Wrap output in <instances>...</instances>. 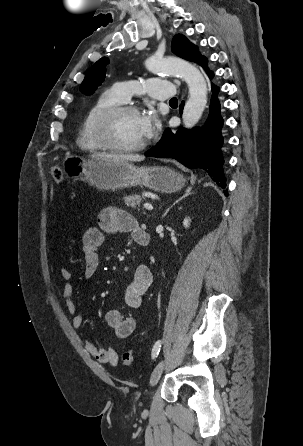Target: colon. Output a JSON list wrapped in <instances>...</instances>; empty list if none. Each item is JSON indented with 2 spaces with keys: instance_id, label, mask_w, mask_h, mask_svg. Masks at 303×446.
<instances>
[{
  "instance_id": "colon-1",
  "label": "colon",
  "mask_w": 303,
  "mask_h": 446,
  "mask_svg": "<svg viewBox=\"0 0 303 446\" xmlns=\"http://www.w3.org/2000/svg\"><path fill=\"white\" fill-rule=\"evenodd\" d=\"M51 174L53 176V179L57 183H63L65 181V173L58 167H53L51 169ZM134 360V351L133 350H127L122 354L121 361L124 365H131Z\"/></svg>"
}]
</instances>
